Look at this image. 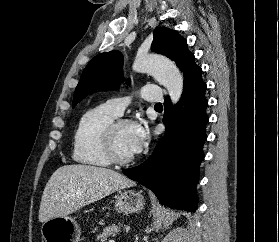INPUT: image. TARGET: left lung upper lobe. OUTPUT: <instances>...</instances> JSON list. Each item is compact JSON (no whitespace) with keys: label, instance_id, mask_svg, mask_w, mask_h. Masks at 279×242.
I'll return each instance as SVG.
<instances>
[{"label":"left lung upper lobe","instance_id":"5c2ea615","mask_svg":"<svg viewBox=\"0 0 279 242\" xmlns=\"http://www.w3.org/2000/svg\"><path fill=\"white\" fill-rule=\"evenodd\" d=\"M151 50L174 60L181 71L186 60L192 55L186 40L177 31L165 27L154 30ZM122 64L123 57L117 50L95 56L81 75L75 90L73 107L91 92L118 88L122 79Z\"/></svg>","mask_w":279,"mask_h":242}]
</instances>
